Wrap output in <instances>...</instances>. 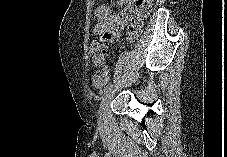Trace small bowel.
I'll return each instance as SVG.
<instances>
[{
	"mask_svg": "<svg viewBox=\"0 0 227 157\" xmlns=\"http://www.w3.org/2000/svg\"><path fill=\"white\" fill-rule=\"evenodd\" d=\"M136 0H118L120 10L117 14L112 13L109 5L98 6L94 11L97 20L94 31L102 36L105 41L116 42L119 39L120 31L124 29L134 11Z\"/></svg>",
	"mask_w": 227,
	"mask_h": 157,
	"instance_id": "c3829d8e",
	"label": "small bowel"
}]
</instances>
